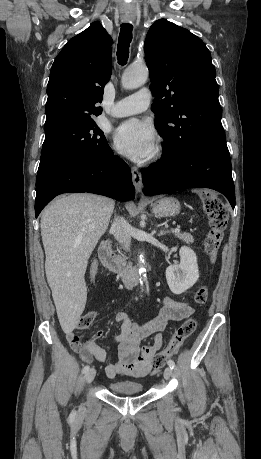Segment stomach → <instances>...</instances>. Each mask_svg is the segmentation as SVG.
I'll use <instances>...</instances> for the list:
<instances>
[{"label": "stomach", "instance_id": "stomach-1", "mask_svg": "<svg viewBox=\"0 0 261 459\" xmlns=\"http://www.w3.org/2000/svg\"><path fill=\"white\" fill-rule=\"evenodd\" d=\"M152 210L159 217L175 216L180 212V203L173 197H164L152 203Z\"/></svg>", "mask_w": 261, "mask_h": 459}]
</instances>
